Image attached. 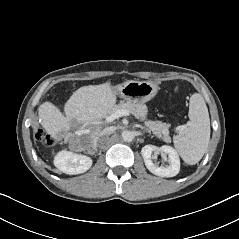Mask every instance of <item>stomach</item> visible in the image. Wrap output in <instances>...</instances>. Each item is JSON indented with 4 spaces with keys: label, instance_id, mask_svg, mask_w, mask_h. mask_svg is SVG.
I'll use <instances>...</instances> for the list:
<instances>
[{
    "label": "stomach",
    "instance_id": "stomach-1",
    "mask_svg": "<svg viewBox=\"0 0 239 239\" xmlns=\"http://www.w3.org/2000/svg\"><path fill=\"white\" fill-rule=\"evenodd\" d=\"M123 100L133 103H145L158 92V85L151 81H126L114 88Z\"/></svg>",
    "mask_w": 239,
    "mask_h": 239
}]
</instances>
